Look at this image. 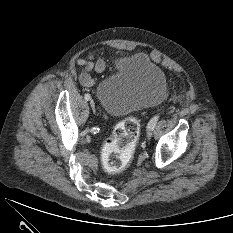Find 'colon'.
<instances>
[{
  "label": "colon",
  "instance_id": "obj_1",
  "mask_svg": "<svg viewBox=\"0 0 233 233\" xmlns=\"http://www.w3.org/2000/svg\"><path fill=\"white\" fill-rule=\"evenodd\" d=\"M139 130V122L134 117H128L116 125L102 151V165L107 173L118 174L128 165L136 147Z\"/></svg>",
  "mask_w": 233,
  "mask_h": 233
}]
</instances>
